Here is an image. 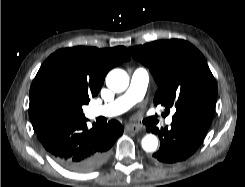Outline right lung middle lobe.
<instances>
[{
    "instance_id": "obj_1",
    "label": "right lung middle lobe",
    "mask_w": 245,
    "mask_h": 187,
    "mask_svg": "<svg viewBox=\"0 0 245 187\" xmlns=\"http://www.w3.org/2000/svg\"><path fill=\"white\" fill-rule=\"evenodd\" d=\"M29 96L30 119L48 124L84 117L82 106L88 104L92 95L65 69L41 66L32 82Z\"/></svg>"
}]
</instances>
